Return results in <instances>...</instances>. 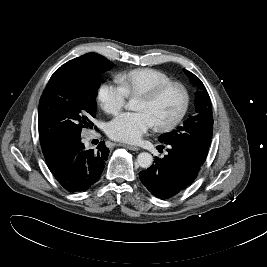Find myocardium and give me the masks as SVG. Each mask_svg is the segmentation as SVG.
Wrapping results in <instances>:
<instances>
[{
    "label": "myocardium",
    "instance_id": "f54148a6",
    "mask_svg": "<svg viewBox=\"0 0 267 267\" xmlns=\"http://www.w3.org/2000/svg\"><path fill=\"white\" fill-rule=\"evenodd\" d=\"M179 88L184 97L183 105L179 111V113L176 115V117L171 120L170 122L160 124L153 126V129L156 132L163 133V132H169L173 129H175L185 118L189 105H190V93L187 89V87L178 81H170L167 83H164L162 85L157 86L156 88L152 89L151 91L140 95L137 97L138 100H142L144 102H154L157 100L165 91H167L170 88Z\"/></svg>",
    "mask_w": 267,
    "mask_h": 267
}]
</instances>
